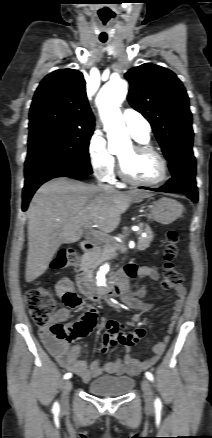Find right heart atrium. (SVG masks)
Listing matches in <instances>:
<instances>
[{
  "label": "right heart atrium",
  "mask_w": 212,
  "mask_h": 438,
  "mask_svg": "<svg viewBox=\"0 0 212 438\" xmlns=\"http://www.w3.org/2000/svg\"><path fill=\"white\" fill-rule=\"evenodd\" d=\"M87 154L94 175L101 180H110L114 175L115 157L109 152L102 134L94 133L89 140Z\"/></svg>",
  "instance_id": "1"
}]
</instances>
